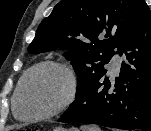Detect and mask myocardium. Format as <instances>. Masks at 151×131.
I'll use <instances>...</instances> for the list:
<instances>
[{
    "mask_svg": "<svg viewBox=\"0 0 151 131\" xmlns=\"http://www.w3.org/2000/svg\"><path fill=\"white\" fill-rule=\"evenodd\" d=\"M49 68L60 71L66 79L67 86H66V92L63 99L59 102V104L56 107H54L52 110L46 113L38 114V115H31V116H23L19 111V100H20L21 94L23 92V89L26 85L27 80L30 78V76H32L37 71H40L43 69H49ZM77 92H78V78H77L76 73L73 71V69L70 66L60 61H54V60L43 61L32 66L22 76L18 84L17 90L14 94L13 111H14V114L18 118H25L28 120L49 119L60 114L64 110H66L75 100Z\"/></svg>",
    "mask_w": 151,
    "mask_h": 131,
    "instance_id": "myocardium-1",
    "label": "myocardium"
}]
</instances>
